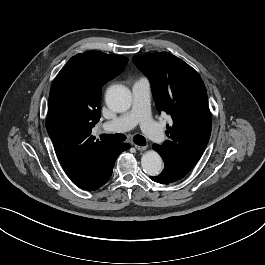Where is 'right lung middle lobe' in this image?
<instances>
[{
    "label": "right lung middle lobe",
    "mask_w": 265,
    "mask_h": 265,
    "mask_svg": "<svg viewBox=\"0 0 265 265\" xmlns=\"http://www.w3.org/2000/svg\"><path fill=\"white\" fill-rule=\"evenodd\" d=\"M59 99L61 102H64L68 99V93L66 91V87L64 85H61L59 89Z\"/></svg>",
    "instance_id": "dd1d6c3e"
}]
</instances>
